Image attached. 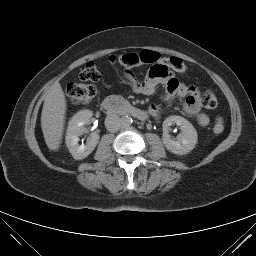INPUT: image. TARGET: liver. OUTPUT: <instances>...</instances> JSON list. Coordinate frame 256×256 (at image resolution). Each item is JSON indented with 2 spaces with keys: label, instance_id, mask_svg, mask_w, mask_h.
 Returning a JSON list of instances; mask_svg holds the SVG:
<instances>
[{
  "label": "liver",
  "instance_id": "6515ba94",
  "mask_svg": "<svg viewBox=\"0 0 256 256\" xmlns=\"http://www.w3.org/2000/svg\"><path fill=\"white\" fill-rule=\"evenodd\" d=\"M66 114L65 94L59 82L49 89L41 113V128L47 147L57 151L62 143Z\"/></svg>",
  "mask_w": 256,
  "mask_h": 256
}]
</instances>
